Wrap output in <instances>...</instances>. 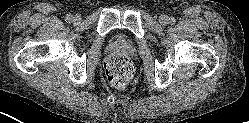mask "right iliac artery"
Returning <instances> with one entry per match:
<instances>
[{"mask_svg": "<svg viewBox=\"0 0 249 123\" xmlns=\"http://www.w3.org/2000/svg\"><path fill=\"white\" fill-rule=\"evenodd\" d=\"M65 21L66 22H72L73 21V16L71 14H67L66 17H65Z\"/></svg>", "mask_w": 249, "mask_h": 123, "instance_id": "1", "label": "right iliac artery"}]
</instances>
